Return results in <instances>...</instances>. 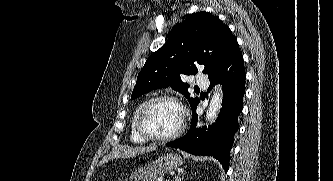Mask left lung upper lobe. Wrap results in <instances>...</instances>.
<instances>
[{
    "label": "left lung upper lobe",
    "mask_w": 333,
    "mask_h": 181,
    "mask_svg": "<svg viewBox=\"0 0 333 181\" xmlns=\"http://www.w3.org/2000/svg\"><path fill=\"white\" fill-rule=\"evenodd\" d=\"M238 46L235 36L221 20L208 13L191 14L179 24L167 42L147 59L138 74L131 99L158 88L180 92L193 108L200 101L189 98V85L182 75H195L202 66L203 73L212 74Z\"/></svg>",
    "instance_id": "5c2ea615"
}]
</instances>
